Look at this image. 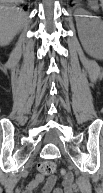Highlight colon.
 Returning a JSON list of instances; mask_svg holds the SVG:
<instances>
[{
	"mask_svg": "<svg viewBox=\"0 0 103 193\" xmlns=\"http://www.w3.org/2000/svg\"><path fill=\"white\" fill-rule=\"evenodd\" d=\"M38 170L42 175L50 176L56 172V165L52 161L46 160L39 164ZM61 175L64 178L69 177V173L66 170L61 171Z\"/></svg>",
	"mask_w": 103,
	"mask_h": 193,
	"instance_id": "1",
	"label": "colon"
}]
</instances>
